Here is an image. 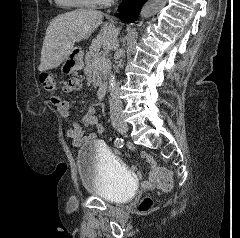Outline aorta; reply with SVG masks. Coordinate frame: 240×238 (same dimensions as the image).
I'll use <instances>...</instances> for the list:
<instances>
[{
	"instance_id": "obj_1",
	"label": "aorta",
	"mask_w": 240,
	"mask_h": 238,
	"mask_svg": "<svg viewBox=\"0 0 240 238\" xmlns=\"http://www.w3.org/2000/svg\"><path fill=\"white\" fill-rule=\"evenodd\" d=\"M165 3L166 0H148L141 10L140 17L148 18L153 16L164 7ZM115 83V73H111L108 80V89L110 93L114 89Z\"/></svg>"
}]
</instances>
